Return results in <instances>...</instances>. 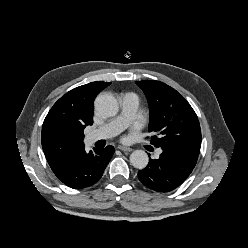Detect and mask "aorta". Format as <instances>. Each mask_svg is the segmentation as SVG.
Segmentation results:
<instances>
[{"label": "aorta", "instance_id": "762f6f07", "mask_svg": "<svg viewBox=\"0 0 248 248\" xmlns=\"http://www.w3.org/2000/svg\"><path fill=\"white\" fill-rule=\"evenodd\" d=\"M119 104L111 94H101L95 99V111L101 117H112L118 112ZM149 162L148 155L143 150H135L130 155V163L138 169H144Z\"/></svg>", "mask_w": 248, "mask_h": 248}]
</instances>
